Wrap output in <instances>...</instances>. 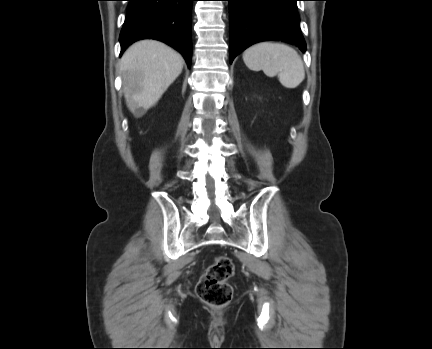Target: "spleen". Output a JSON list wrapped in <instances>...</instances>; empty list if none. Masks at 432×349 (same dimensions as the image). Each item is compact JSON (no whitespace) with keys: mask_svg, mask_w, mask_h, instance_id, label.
<instances>
[{"mask_svg":"<svg viewBox=\"0 0 432 349\" xmlns=\"http://www.w3.org/2000/svg\"><path fill=\"white\" fill-rule=\"evenodd\" d=\"M243 61L253 71L263 70L268 77L278 76L280 83L289 89L296 88L305 78L301 57L283 43L255 44L244 51Z\"/></svg>","mask_w":432,"mask_h":349,"instance_id":"obj_1","label":"spleen"}]
</instances>
